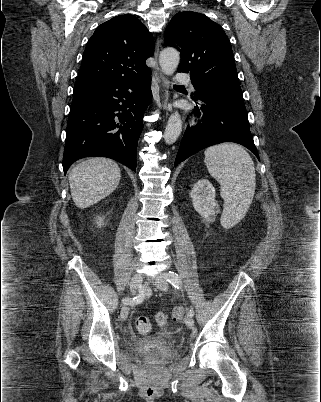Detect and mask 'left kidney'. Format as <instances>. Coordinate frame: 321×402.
Wrapping results in <instances>:
<instances>
[{
	"mask_svg": "<svg viewBox=\"0 0 321 402\" xmlns=\"http://www.w3.org/2000/svg\"><path fill=\"white\" fill-rule=\"evenodd\" d=\"M194 209L208 222L215 220L216 201L215 189L209 180L202 178L197 181L191 192Z\"/></svg>",
	"mask_w": 321,
	"mask_h": 402,
	"instance_id": "1",
	"label": "left kidney"
}]
</instances>
